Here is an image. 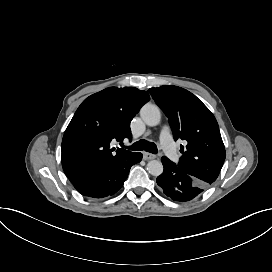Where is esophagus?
I'll return each instance as SVG.
<instances>
[{
    "label": "esophagus",
    "instance_id": "obj_1",
    "mask_svg": "<svg viewBox=\"0 0 272 272\" xmlns=\"http://www.w3.org/2000/svg\"><path fill=\"white\" fill-rule=\"evenodd\" d=\"M156 155L151 154L149 152H143V159L144 160H151V159H155Z\"/></svg>",
    "mask_w": 272,
    "mask_h": 272
}]
</instances>
